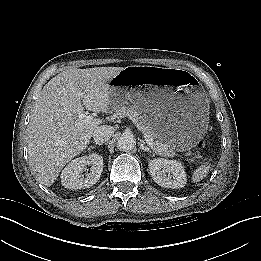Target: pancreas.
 <instances>
[{
    "label": "pancreas",
    "instance_id": "pancreas-1",
    "mask_svg": "<svg viewBox=\"0 0 261 261\" xmlns=\"http://www.w3.org/2000/svg\"><path fill=\"white\" fill-rule=\"evenodd\" d=\"M115 110V118L119 119L124 117H130L141 131H144L148 135H150V137L154 140L155 143V151L159 155L165 157L175 156V148L171 144L163 142L156 137L155 133L149 126L147 120L141 115L140 110H138L135 107L125 105L118 107Z\"/></svg>",
    "mask_w": 261,
    "mask_h": 261
}]
</instances>
